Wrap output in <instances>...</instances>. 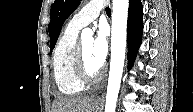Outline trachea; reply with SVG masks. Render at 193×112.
Returning <instances> with one entry per match:
<instances>
[{
	"mask_svg": "<svg viewBox=\"0 0 193 112\" xmlns=\"http://www.w3.org/2000/svg\"><path fill=\"white\" fill-rule=\"evenodd\" d=\"M106 13H107V15L111 14V9L109 7L106 8Z\"/></svg>",
	"mask_w": 193,
	"mask_h": 112,
	"instance_id": "3493384b",
	"label": "trachea"
}]
</instances>
